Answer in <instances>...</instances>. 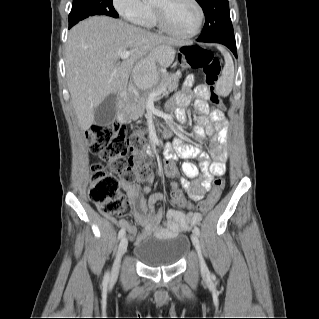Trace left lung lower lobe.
<instances>
[{
  "mask_svg": "<svg viewBox=\"0 0 319 319\" xmlns=\"http://www.w3.org/2000/svg\"><path fill=\"white\" fill-rule=\"evenodd\" d=\"M220 44L227 46L233 52L235 57H237L235 41H223Z\"/></svg>",
  "mask_w": 319,
  "mask_h": 319,
  "instance_id": "0a47b994",
  "label": "left lung lower lobe"
}]
</instances>
